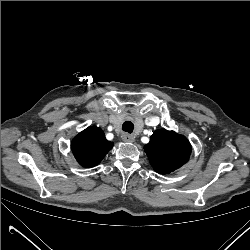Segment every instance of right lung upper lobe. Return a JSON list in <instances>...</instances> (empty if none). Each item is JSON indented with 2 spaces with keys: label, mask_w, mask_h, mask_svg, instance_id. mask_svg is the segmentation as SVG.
I'll return each mask as SVG.
<instances>
[{
  "label": "right lung upper lobe",
  "mask_w": 250,
  "mask_h": 250,
  "mask_svg": "<svg viewBox=\"0 0 250 250\" xmlns=\"http://www.w3.org/2000/svg\"><path fill=\"white\" fill-rule=\"evenodd\" d=\"M113 145L100 128L90 126L73 138L71 149L78 163L88 168L98 165Z\"/></svg>",
  "instance_id": "right-lung-upper-lobe-1"
}]
</instances>
